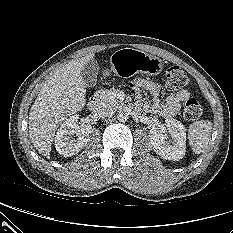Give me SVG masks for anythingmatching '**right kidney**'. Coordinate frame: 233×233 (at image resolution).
<instances>
[{"label": "right kidney", "mask_w": 233, "mask_h": 233, "mask_svg": "<svg viewBox=\"0 0 233 233\" xmlns=\"http://www.w3.org/2000/svg\"><path fill=\"white\" fill-rule=\"evenodd\" d=\"M78 115H72L61 124L55 137V147L58 153L64 157L77 154L87 145L91 133V125H78ZM76 135L73 139L72 135Z\"/></svg>", "instance_id": "1"}]
</instances>
